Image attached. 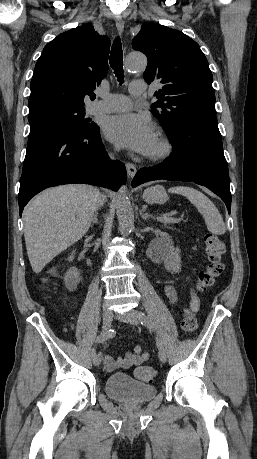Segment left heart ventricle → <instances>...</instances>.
I'll return each mask as SVG.
<instances>
[{
  "label": "left heart ventricle",
  "instance_id": "1",
  "mask_svg": "<svg viewBox=\"0 0 257 459\" xmlns=\"http://www.w3.org/2000/svg\"><path fill=\"white\" fill-rule=\"evenodd\" d=\"M158 147H159V144H158V140L156 139V142H155V144H154L152 150L150 151V153L157 151V150H158Z\"/></svg>",
  "mask_w": 257,
  "mask_h": 459
}]
</instances>
